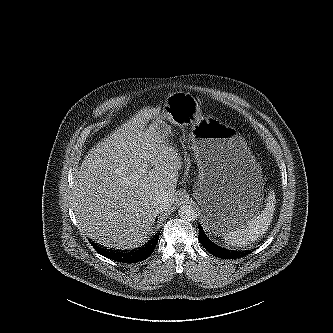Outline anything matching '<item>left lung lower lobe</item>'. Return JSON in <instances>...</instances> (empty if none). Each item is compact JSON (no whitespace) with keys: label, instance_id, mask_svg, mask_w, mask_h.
Segmentation results:
<instances>
[{"label":"left lung lower lobe","instance_id":"obj_1","mask_svg":"<svg viewBox=\"0 0 333 333\" xmlns=\"http://www.w3.org/2000/svg\"><path fill=\"white\" fill-rule=\"evenodd\" d=\"M199 229V241L202 244V246L209 251L211 254H213L216 257L223 258V259H237L240 257H244L251 253V251H235V250H228L226 248H223L217 244H215L213 241H211L208 236L205 234L202 226L198 225Z\"/></svg>","mask_w":333,"mask_h":333}]
</instances>
